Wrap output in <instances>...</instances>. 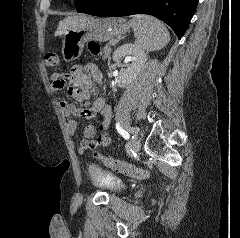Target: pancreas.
<instances>
[{
    "label": "pancreas",
    "instance_id": "obj_1",
    "mask_svg": "<svg viewBox=\"0 0 240 238\" xmlns=\"http://www.w3.org/2000/svg\"><path fill=\"white\" fill-rule=\"evenodd\" d=\"M117 42H118V40L114 39V40H111L107 45L104 46L103 52L101 53L102 60H106L107 58L110 57L111 45H112V43L116 44Z\"/></svg>",
    "mask_w": 240,
    "mask_h": 238
}]
</instances>
